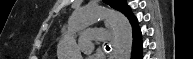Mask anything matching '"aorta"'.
I'll return each mask as SVG.
<instances>
[{"label": "aorta", "mask_w": 193, "mask_h": 59, "mask_svg": "<svg viewBox=\"0 0 193 59\" xmlns=\"http://www.w3.org/2000/svg\"><path fill=\"white\" fill-rule=\"evenodd\" d=\"M107 19L114 32V59H130L132 49V27L128 19L120 12L109 10L100 5L88 4L76 9L68 22V32L58 47V56L62 59H82L74 34L76 31Z\"/></svg>", "instance_id": "762f6f07"}]
</instances>
